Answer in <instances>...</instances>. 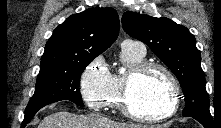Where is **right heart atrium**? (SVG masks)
<instances>
[{
  "label": "right heart atrium",
  "instance_id": "right-heart-atrium-1",
  "mask_svg": "<svg viewBox=\"0 0 221 128\" xmlns=\"http://www.w3.org/2000/svg\"><path fill=\"white\" fill-rule=\"evenodd\" d=\"M111 88V72L102 56L89 61L80 79V93L86 105L92 110L104 109V98Z\"/></svg>",
  "mask_w": 221,
  "mask_h": 128
}]
</instances>
